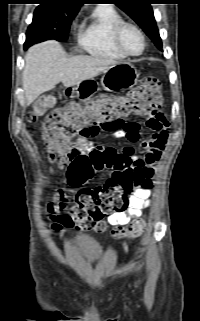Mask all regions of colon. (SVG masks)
<instances>
[{
    "label": "colon",
    "instance_id": "5ec220e1",
    "mask_svg": "<svg viewBox=\"0 0 200 321\" xmlns=\"http://www.w3.org/2000/svg\"><path fill=\"white\" fill-rule=\"evenodd\" d=\"M56 103L53 95L41 97L27 114L35 121ZM162 104L158 79L147 77L125 96L103 95L96 99L73 103L46 115L43 138L51 162L67 166L65 177L76 189L75 202L66 219L84 231L103 232L104 216L127 207L128 195L140 185L141 178L129 159L113 152L94 150L72 155L70 138L75 135L93 137L101 131L117 127L126 116L156 111ZM111 170V177L95 188H83L96 172ZM145 227L144 219L134 220L128 227L113 231L117 237L135 238Z\"/></svg>",
    "mask_w": 200,
    "mask_h": 321
}]
</instances>
